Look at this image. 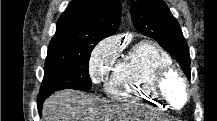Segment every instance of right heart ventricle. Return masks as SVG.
I'll use <instances>...</instances> for the list:
<instances>
[{
	"instance_id": "right-heart-ventricle-1",
	"label": "right heart ventricle",
	"mask_w": 217,
	"mask_h": 121,
	"mask_svg": "<svg viewBox=\"0 0 217 121\" xmlns=\"http://www.w3.org/2000/svg\"><path fill=\"white\" fill-rule=\"evenodd\" d=\"M171 65L167 52L151 41H141L117 62L105 91L116 101L164 110L165 104L155 95L153 80L159 70Z\"/></svg>"
}]
</instances>
